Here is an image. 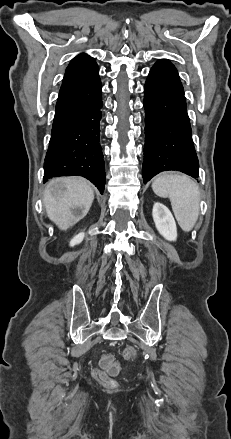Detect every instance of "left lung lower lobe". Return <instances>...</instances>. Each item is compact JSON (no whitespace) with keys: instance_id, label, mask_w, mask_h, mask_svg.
I'll return each mask as SVG.
<instances>
[{"instance_id":"1","label":"left lung lower lobe","mask_w":231,"mask_h":439,"mask_svg":"<svg viewBox=\"0 0 231 439\" xmlns=\"http://www.w3.org/2000/svg\"><path fill=\"white\" fill-rule=\"evenodd\" d=\"M144 183L166 170L197 178L194 149L184 89L174 65L166 59L155 63L144 87Z\"/></svg>"}]
</instances>
